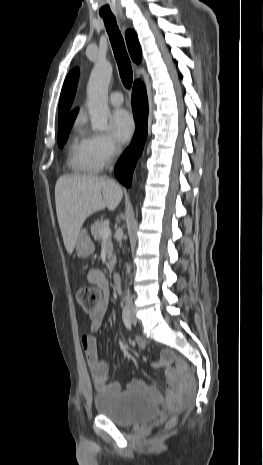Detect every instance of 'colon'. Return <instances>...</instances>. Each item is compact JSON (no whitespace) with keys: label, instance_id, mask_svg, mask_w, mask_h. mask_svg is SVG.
<instances>
[{"label":"colon","instance_id":"5ec220e1","mask_svg":"<svg viewBox=\"0 0 263 465\" xmlns=\"http://www.w3.org/2000/svg\"><path fill=\"white\" fill-rule=\"evenodd\" d=\"M102 298V292L95 287H82L77 292V300L80 306L87 312L93 310ZM169 407H174L175 404L168 403Z\"/></svg>","mask_w":263,"mask_h":465}]
</instances>
